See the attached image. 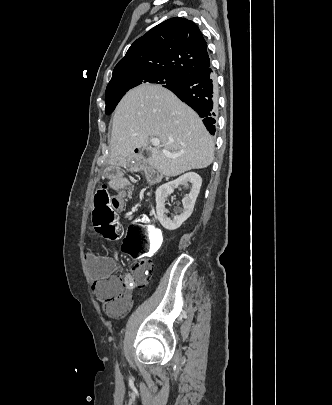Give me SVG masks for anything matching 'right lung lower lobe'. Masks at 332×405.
I'll return each instance as SVG.
<instances>
[{
	"label": "right lung lower lobe",
	"mask_w": 332,
	"mask_h": 405,
	"mask_svg": "<svg viewBox=\"0 0 332 405\" xmlns=\"http://www.w3.org/2000/svg\"><path fill=\"white\" fill-rule=\"evenodd\" d=\"M168 89L203 118V123L211 134L215 133L217 83L210 64L186 75Z\"/></svg>",
	"instance_id": "98d812e1"
}]
</instances>
